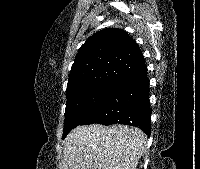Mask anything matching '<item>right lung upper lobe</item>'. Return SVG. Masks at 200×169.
Wrapping results in <instances>:
<instances>
[{"label":"right lung upper lobe","instance_id":"right-lung-upper-lobe-1","mask_svg":"<svg viewBox=\"0 0 200 169\" xmlns=\"http://www.w3.org/2000/svg\"><path fill=\"white\" fill-rule=\"evenodd\" d=\"M144 71L143 55L128 33L121 29H104L89 37L79 48L66 95L70 98L94 83L118 82Z\"/></svg>","mask_w":200,"mask_h":169}]
</instances>
